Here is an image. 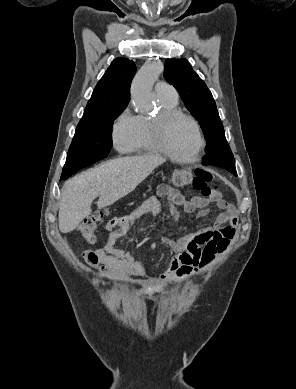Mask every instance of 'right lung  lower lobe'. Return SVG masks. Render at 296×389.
I'll list each match as a JSON object with an SVG mask.
<instances>
[{
    "instance_id": "obj_1",
    "label": "right lung lower lobe",
    "mask_w": 296,
    "mask_h": 389,
    "mask_svg": "<svg viewBox=\"0 0 296 389\" xmlns=\"http://www.w3.org/2000/svg\"><path fill=\"white\" fill-rule=\"evenodd\" d=\"M75 172H69V173H62L61 179H67L69 176L74 174Z\"/></svg>"
}]
</instances>
